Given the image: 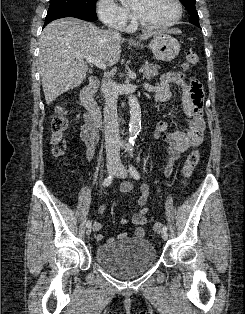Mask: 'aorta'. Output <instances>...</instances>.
Returning a JSON list of instances; mask_svg holds the SVG:
<instances>
[{
    "instance_id": "762f6f07",
    "label": "aorta",
    "mask_w": 245,
    "mask_h": 314,
    "mask_svg": "<svg viewBox=\"0 0 245 314\" xmlns=\"http://www.w3.org/2000/svg\"><path fill=\"white\" fill-rule=\"evenodd\" d=\"M128 104L130 107V121L127 149L130 150L141 128V108L138 99L133 95L129 96Z\"/></svg>"
}]
</instances>
